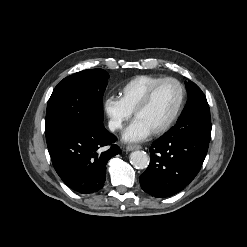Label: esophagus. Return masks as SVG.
I'll return each mask as SVG.
<instances>
[{"label":"esophagus","mask_w":247,"mask_h":247,"mask_svg":"<svg viewBox=\"0 0 247 247\" xmlns=\"http://www.w3.org/2000/svg\"><path fill=\"white\" fill-rule=\"evenodd\" d=\"M140 148H141L140 145H127V146H126V150H127V151H132V150L140 149Z\"/></svg>","instance_id":"esophagus-1"}]
</instances>
